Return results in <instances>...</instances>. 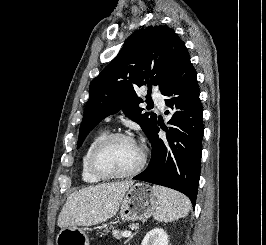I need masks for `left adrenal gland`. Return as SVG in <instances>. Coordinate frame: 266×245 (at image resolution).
<instances>
[{
	"instance_id": "obj_1",
	"label": "left adrenal gland",
	"mask_w": 266,
	"mask_h": 245,
	"mask_svg": "<svg viewBox=\"0 0 266 245\" xmlns=\"http://www.w3.org/2000/svg\"><path fill=\"white\" fill-rule=\"evenodd\" d=\"M136 233H138V231H136ZM136 233H134V235H136ZM132 237H133V235H132ZM132 237H129V239H127V241H125V245H126V243H128V241H130V239H132Z\"/></svg>"
}]
</instances>
